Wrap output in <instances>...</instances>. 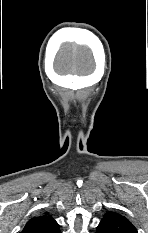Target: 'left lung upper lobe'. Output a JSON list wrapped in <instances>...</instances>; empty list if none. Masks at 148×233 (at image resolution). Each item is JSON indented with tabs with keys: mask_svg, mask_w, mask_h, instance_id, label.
<instances>
[{
	"mask_svg": "<svg viewBox=\"0 0 148 233\" xmlns=\"http://www.w3.org/2000/svg\"><path fill=\"white\" fill-rule=\"evenodd\" d=\"M96 233H138V231L124 216L107 212L99 223Z\"/></svg>",
	"mask_w": 148,
	"mask_h": 233,
	"instance_id": "1",
	"label": "left lung upper lobe"
}]
</instances>
